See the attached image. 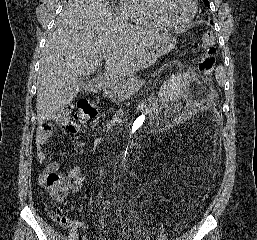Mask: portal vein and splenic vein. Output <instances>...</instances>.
<instances>
[{
    "label": "portal vein and splenic vein",
    "instance_id": "1",
    "mask_svg": "<svg viewBox=\"0 0 257 240\" xmlns=\"http://www.w3.org/2000/svg\"><path fill=\"white\" fill-rule=\"evenodd\" d=\"M106 59L107 58V55H102V56H100V59Z\"/></svg>",
    "mask_w": 257,
    "mask_h": 240
}]
</instances>
